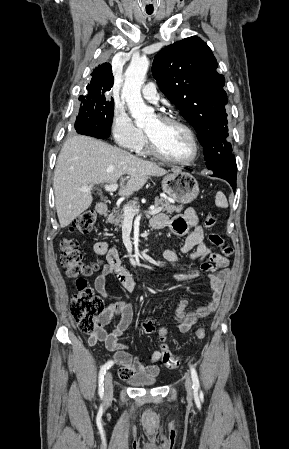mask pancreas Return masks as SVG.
<instances>
[{
  "instance_id": "1",
  "label": "pancreas",
  "mask_w": 289,
  "mask_h": 449,
  "mask_svg": "<svg viewBox=\"0 0 289 449\" xmlns=\"http://www.w3.org/2000/svg\"><path fill=\"white\" fill-rule=\"evenodd\" d=\"M159 205H161L163 207V210H165L167 213H170V214L173 212L179 213L183 210V206L174 205L166 199L157 197L155 199V206L158 207ZM126 206L131 207L133 209H138L139 203L137 200H132V201H129L126 204ZM124 217H125L124 213H122V212H112L111 214L108 215L107 222L118 227V226H121V223L123 222ZM116 230H118V228H116Z\"/></svg>"
}]
</instances>
